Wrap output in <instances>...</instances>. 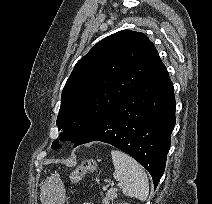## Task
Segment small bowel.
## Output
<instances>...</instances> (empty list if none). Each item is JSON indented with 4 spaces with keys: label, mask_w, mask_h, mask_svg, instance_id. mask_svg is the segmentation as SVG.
<instances>
[{
    "label": "small bowel",
    "mask_w": 212,
    "mask_h": 204,
    "mask_svg": "<svg viewBox=\"0 0 212 204\" xmlns=\"http://www.w3.org/2000/svg\"><path fill=\"white\" fill-rule=\"evenodd\" d=\"M84 204H93V203H84Z\"/></svg>",
    "instance_id": "c3829d8e"
}]
</instances>
